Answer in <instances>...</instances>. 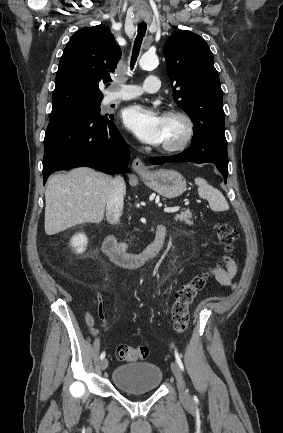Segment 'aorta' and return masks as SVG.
<instances>
[{
	"instance_id": "obj_1",
	"label": "aorta",
	"mask_w": 283,
	"mask_h": 433,
	"mask_svg": "<svg viewBox=\"0 0 283 433\" xmlns=\"http://www.w3.org/2000/svg\"><path fill=\"white\" fill-rule=\"evenodd\" d=\"M158 63L159 60L157 55L149 52L143 54L139 60V65L143 69L154 68Z\"/></svg>"
}]
</instances>
